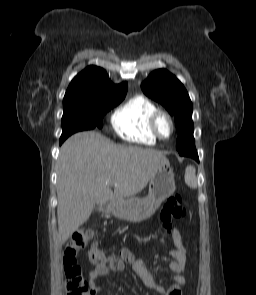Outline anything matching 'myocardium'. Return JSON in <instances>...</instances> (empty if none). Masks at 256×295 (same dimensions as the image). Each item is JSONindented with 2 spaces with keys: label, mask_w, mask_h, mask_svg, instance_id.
Instances as JSON below:
<instances>
[{
  "label": "myocardium",
  "mask_w": 256,
  "mask_h": 295,
  "mask_svg": "<svg viewBox=\"0 0 256 295\" xmlns=\"http://www.w3.org/2000/svg\"><path fill=\"white\" fill-rule=\"evenodd\" d=\"M161 120H166L169 128H170V132L167 136L163 135L162 132L160 131V122ZM150 127L151 130L153 131V133L155 134V136L161 140H168L169 138H171L175 132V123L173 118L171 117V115L165 111H157L151 118L150 121Z\"/></svg>",
  "instance_id": "f54148a6"
}]
</instances>
